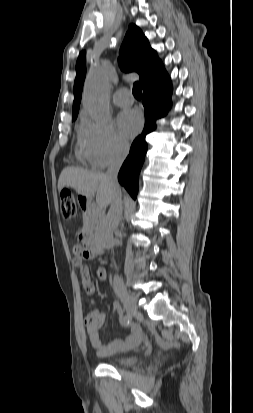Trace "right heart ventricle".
<instances>
[{
    "instance_id": "1",
    "label": "right heart ventricle",
    "mask_w": 253,
    "mask_h": 413,
    "mask_svg": "<svg viewBox=\"0 0 253 413\" xmlns=\"http://www.w3.org/2000/svg\"><path fill=\"white\" fill-rule=\"evenodd\" d=\"M83 155H85L84 150H83ZM86 156V155H85Z\"/></svg>"
}]
</instances>
